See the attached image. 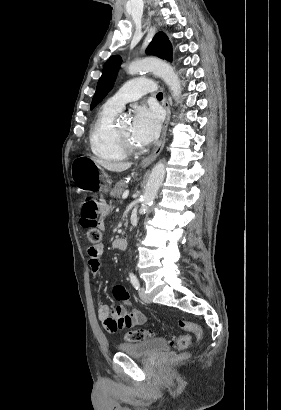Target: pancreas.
Wrapping results in <instances>:
<instances>
[{
    "mask_svg": "<svg viewBox=\"0 0 281 410\" xmlns=\"http://www.w3.org/2000/svg\"><path fill=\"white\" fill-rule=\"evenodd\" d=\"M127 188V184L124 180H121L117 182L114 186V188L111 190L110 195L114 198H120L122 193L125 191Z\"/></svg>",
    "mask_w": 281,
    "mask_h": 410,
    "instance_id": "pancreas-1",
    "label": "pancreas"
}]
</instances>
